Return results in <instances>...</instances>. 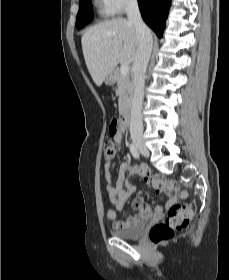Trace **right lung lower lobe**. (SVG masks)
Instances as JSON below:
<instances>
[{"mask_svg": "<svg viewBox=\"0 0 229 280\" xmlns=\"http://www.w3.org/2000/svg\"><path fill=\"white\" fill-rule=\"evenodd\" d=\"M141 15L158 37H162L171 0H138Z\"/></svg>", "mask_w": 229, "mask_h": 280, "instance_id": "obj_1", "label": "right lung lower lobe"}]
</instances>
